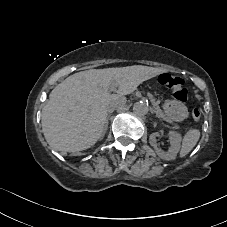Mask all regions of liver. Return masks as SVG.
<instances>
[{"label":"liver","mask_w":227,"mask_h":227,"mask_svg":"<svg viewBox=\"0 0 227 227\" xmlns=\"http://www.w3.org/2000/svg\"><path fill=\"white\" fill-rule=\"evenodd\" d=\"M159 73L158 68L134 65L90 69L67 77L51 91L42 109L41 123L47 143L54 150L65 152L90 148L104 131L109 87L118 85L119 91L127 94Z\"/></svg>","instance_id":"1"}]
</instances>
